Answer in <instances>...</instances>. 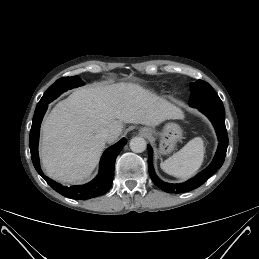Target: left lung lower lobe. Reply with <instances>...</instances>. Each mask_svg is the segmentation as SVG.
Returning a JSON list of instances; mask_svg holds the SVG:
<instances>
[{
    "instance_id": "obj_1",
    "label": "left lung lower lobe",
    "mask_w": 259,
    "mask_h": 259,
    "mask_svg": "<svg viewBox=\"0 0 259 259\" xmlns=\"http://www.w3.org/2000/svg\"><path fill=\"white\" fill-rule=\"evenodd\" d=\"M193 108L199 109L202 113H204L213 123L218 140L219 145L216 152V155L212 161V163L194 178L179 184H170L160 180L154 171V167L152 164V149L148 145V169L150 177L153 183L158 186L160 189L167 193H184L188 191H192L198 187H200L210 176H212L223 164L228 144V135L225 127V110L222 102L219 103H211V104H200L191 106Z\"/></svg>"
}]
</instances>
